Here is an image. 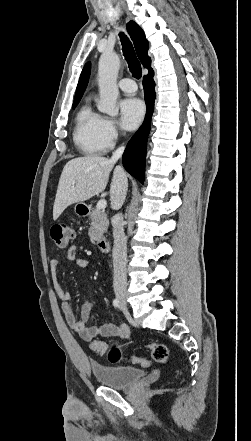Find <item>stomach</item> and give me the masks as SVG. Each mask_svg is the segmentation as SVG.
Returning a JSON list of instances; mask_svg holds the SVG:
<instances>
[{
  "label": "stomach",
  "instance_id": "1",
  "mask_svg": "<svg viewBox=\"0 0 251 441\" xmlns=\"http://www.w3.org/2000/svg\"><path fill=\"white\" fill-rule=\"evenodd\" d=\"M85 207H86V205L84 203L79 202L75 205L74 210H75L76 214L81 215L82 210H84Z\"/></svg>",
  "mask_w": 251,
  "mask_h": 441
}]
</instances>
